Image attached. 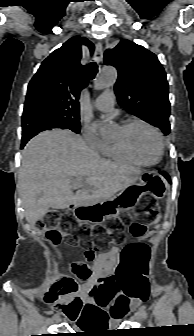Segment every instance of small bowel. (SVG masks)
I'll list each match as a JSON object with an SVG mask.
<instances>
[{
	"label": "small bowel",
	"mask_w": 194,
	"mask_h": 336,
	"mask_svg": "<svg viewBox=\"0 0 194 336\" xmlns=\"http://www.w3.org/2000/svg\"><path fill=\"white\" fill-rule=\"evenodd\" d=\"M122 252V248L113 246L106 253L98 255L94 259L92 274L78 290V294L85 301L84 310L77 320L80 328L83 329L88 323L107 322L111 319L114 294L104 284L115 279L114 272L120 263ZM147 271L148 258L146 270L139 272L137 277V286L144 290L146 289L144 280Z\"/></svg>",
	"instance_id": "c3829d8e"
}]
</instances>
